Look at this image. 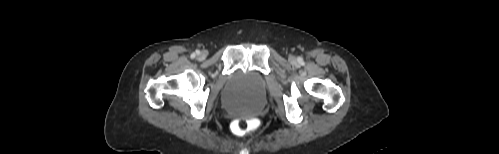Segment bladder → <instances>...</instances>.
<instances>
[{"instance_id": "obj_1", "label": "bladder", "mask_w": 499, "mask_h": 154, "mask_svg": "<svg viewBox=\"0 0 499 154\" xmlns=\"http://www.w3.org/2000/svg\"><path fill=\"white\" fill-rule=\"evenodd\" d=\"M263 79L255 72H238L223 94V104L231 111L250 115L262 105Z\"/></svg>"}]
</instances>
